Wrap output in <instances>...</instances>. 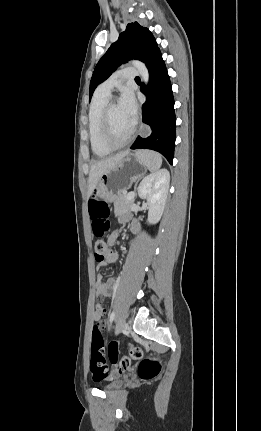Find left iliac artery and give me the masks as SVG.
<instances>
[{
	"mask_svg": "<svg viewBox=\"0 0 261 431\" xmlns=\"http://www.w3.org/2000/svg\"><path fill=\"white\" fill-rule=\"evenodd\" d=\"M115 318V312H111L110 316H109V323H111Z\"/></svg>",
	"mask_w": 261,
	"mask_h": 431,
	"instance_id": "obj_1",
	"label": "left iliac artery"
}]
</instances>
